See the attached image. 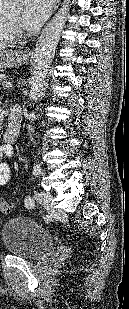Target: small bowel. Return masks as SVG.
<instances>
[{
	"instance_id": "small-bowel-1",
	"label": "small bowel",
	"mask_w": 129,
	"mask_h": 309,
	"mask_svg": "<svg viewBox=\"0 0 129 309\" xmlns=\"http://www.w3.org/2000/svg\"><path fill=\"white\" fill-rule=\"evenodd\" d=\"M8 158L13 155V147L11 144H3L0 146V156ZM12 179V170L7 163L0 162V186L8 184Z\"/></svg>"
}]
</instances>
